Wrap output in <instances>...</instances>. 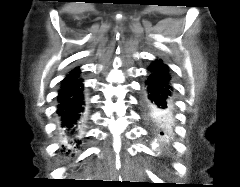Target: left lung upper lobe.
Returning a JSON list of instances; mask_svg holds the SVG:
<instances>
[{
	"label": "left lung upper lobe",
	"mask_w": 240,
	"mask_h": 187,
	"mask_svg": "<svg viewBox=\"0 0 240 187\" xmlns=\"http://www.w3.org/2000/svg\"><path fill=\"white\" fill-rule=\"evenodd\" d=\"M159 130H161L160 135H168L171 131V124L170 125H163L160 123H153Z\"/></svg>",
	"instance_id": "obj_1"
}]
</instances>
